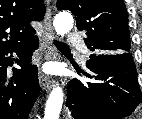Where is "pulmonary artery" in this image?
<instances>
[{"label": "pulmonary artery", "mask_w": 142, "mask_h": 119, "mask_svg": "<svg viewBox=\"0 0 142 119\" xmlns=\"http://www.w3.org/2000/svg\"><path fill=\"white\" fill-rule=\"evenodd\" d=\"M67 43L81 47L84 52L87 51L81 36L77 33H70L67 37Z\"/></svg>", "instance_id": "e3ab8cb5"}]
</instances>
